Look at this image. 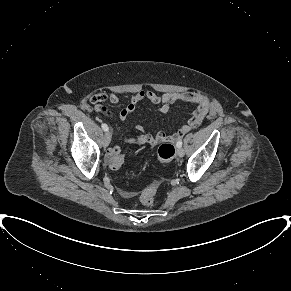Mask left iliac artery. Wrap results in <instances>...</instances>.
<instances>
[{
  "label": "left iliac artery",
  "instance_id": "left-iliac-artery-1",
  "mask_svg": "<svg viewBox=\"0 0 291 291\" xmlns=\"http://www.w3.org/2000/svg\"><path fill=\"white\" fill-rule=\"evenodd\" d=\"M176 145H177L178 148L182 147V141L179 140Z\"/></svg>",
  "mask_w": 291,
  "mask_h": 291
}]
</instances>
